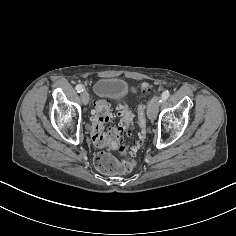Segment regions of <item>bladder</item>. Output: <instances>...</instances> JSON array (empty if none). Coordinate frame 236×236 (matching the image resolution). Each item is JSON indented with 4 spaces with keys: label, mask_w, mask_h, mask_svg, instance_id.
Instances as JSON below:
<instances>
[{
    "label": "bladder",
    "mask_w": 236,
    "mask_h": 236,
    "mask_svg": "<svg viewBox=\"0 0 236 236\" xmlns=\"http://www.w3.org/2000/svg\"><path fill=\"white\" fill-rule=\"evenodd\" d=\"M95 92L104 98L120 99L128 91L127 83L116 77H102L95 84Z\"/></svg>",
    "instance_id": "obj_1"
}]
</instances>
